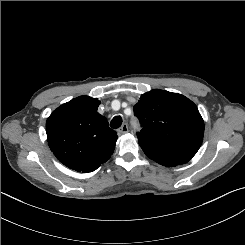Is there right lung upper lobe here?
Masks as SVG:
<instances>
[{
  "mask_svg": "<svg viewBox=\"0 0 245 245\" xmlns=\"http://www.w3.org/2000/svg\"><path fill=\"white\" fill-rule=\"evenodd\" d=\"M100 101L80 96L62 104L48 117L49 147L65 166L78 172H92L105 163L118 138L107 119L97 112Z\"/></svg>",
  "mask_w": 245,
  "mask_h": 245,
  "instance_id": "1",
  "label": "right lung upper lobe"
}]
</instances>
